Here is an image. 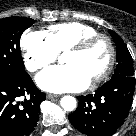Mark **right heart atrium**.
Listing matches in <instances>:
<instances>
[{
    "label": "right heart atrium",
    "mask_w": 136,
    "mask_h": 136,
    "mask_svg": "<svg viewBox=\"0 0 136 136\" xmlns=\"http://www.w3.org/2000/svg\"><path fill=\"white\" fill-rule=\"evenodd\" d=\"M20 46L24 65L31 72L46 67L58 56V51L42 31L26 30L22 34Z\"/></svg>",
    "instance_id": "right-heart-atrium-1"
}]
</instances>
